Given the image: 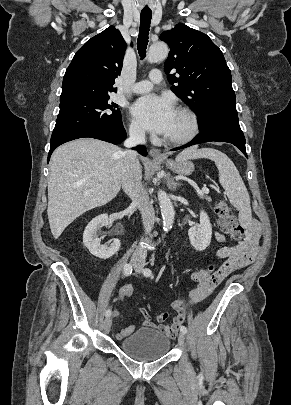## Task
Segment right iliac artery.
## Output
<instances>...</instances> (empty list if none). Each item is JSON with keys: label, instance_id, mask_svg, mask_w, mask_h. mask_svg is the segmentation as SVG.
Here are the masks:
<instances>
[{"label": "right iliac artery", "instance_id": "obj_1", "mask_svg": "<svg viewBox=\"0 0 291 405\" xmlns=\"http://www.w3.org/2000/svg\"><path fill=\"white\" fill-rule=\"evenodd\" d=\"M123 272H124V275H125V276L131 275V273H132V266H131V264H126V265L124 266V268H123ZM105 315H106V317H109V316L111 315V310L108 309V310L105 312Z\"/></svg>", "mask_w": 291, "mask_h": 405}]
</instances>
